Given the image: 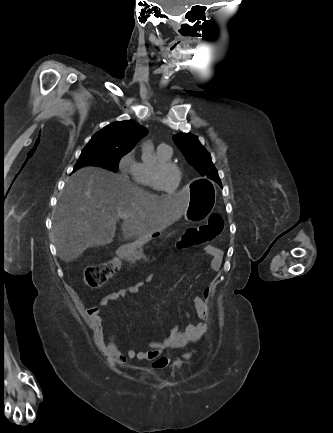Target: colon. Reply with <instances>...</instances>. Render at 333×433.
Here are the masks:
<instances>
[{
	"mask_svg": "<svg viewBox=\"0 0 333 433\" xmlns=\"http://www.w3.org/2000/svg\"><path fill=\"white\" fill-rule=\"evenodd\" d=\"M223 218L218 213H213L208 220L197 226L187 229L177 243V247L186 249L195 246H201L213 241L223 230ZM118 259L88 267L84 272V279L87 286L96 288L101 286L109 277H111L119 268ZM184 359H190L192 353H187ZM174 359L162 357L153 364V368L162 369L167 367Z\"/></svg>",
	"mask_w": 333,
	"mask_h": 433,
	"instance_id": "5ec220e1",
	"label": "colon"
}]
</instances>
